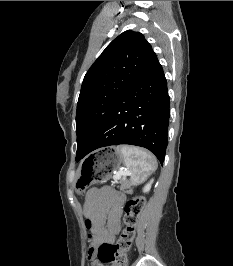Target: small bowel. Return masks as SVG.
I'll return each mask as SVG.
<instances>
[{
  "label": "small bowel",
  "mask_w": 233,
  "mask_h": 266,
  "mask_svg": "<svg viewBox=\"0 0 233 266\" xmlns=\"http://www.w3.org/2000/svg\"><path fill=\"white\" fill-rule=\"evenodd\" d=\"M124 197L104 188L92 190L86 198L85 213L89 220V257H94L101 244H111L119 229Z\"/></svg>",
  "instance_id": "obj_1"
}]
</instances>
